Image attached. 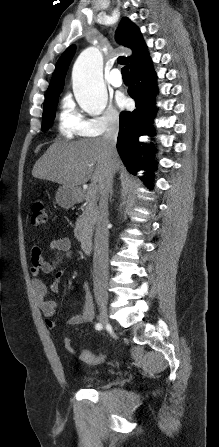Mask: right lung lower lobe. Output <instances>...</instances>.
I'll return each mask as SVG.
<instances>
[{"label":"right lung lower lobe","instance_id":"right-lung-lower-lobe-1","mask_svg":"<svg viewBox=\"0 0 219 447\" xmlns=\"http://www.w3.org/2000/svg\"><path fill=\"white\" fill-rule=\"evenodd\" d=\"M156 92V74L152 68V62L148 59L145 63L130 71V85L128 94L136 102V109L132 112H122L119 118V136L117 150L127 169L136 174L144 169L151 172L155 166L151 163L154 149L151 144L145 143L140 147L138 141L141 135H154L151 122L155 114L154 97ZM145 154L141 160L138 156ZM145 173L144 178L149 186L152 173Z\"/></svg>","mask_w":219,"mask_h":447}]
</instances>
